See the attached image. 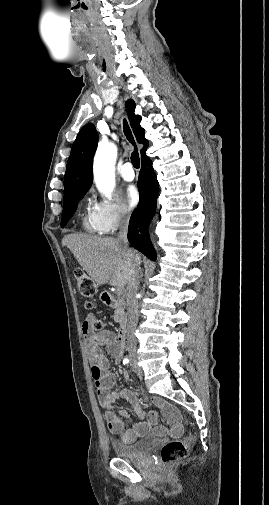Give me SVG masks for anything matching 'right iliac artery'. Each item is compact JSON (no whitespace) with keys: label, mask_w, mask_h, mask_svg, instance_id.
I'll return each instance as SVG.
<instances>
[{"label":"right iliac artery","mask_w":269,"mask_h":505,"mask_svg":"<svg viewBox=\"0 0 269 505\" xmlns=\"http://www.w3.org/2000/svg\"><path fill=\"white\" fill-rule=\"evenodd\" d=\"M129 362H130L129 358L125 357L124 360H123V364L127 365Z\"/></svg>","instance_id":"right-iliac-artery-1"}]
</instances>
